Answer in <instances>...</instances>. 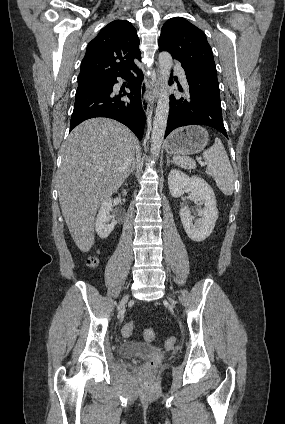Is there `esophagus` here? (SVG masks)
<instances>
[{"label":"esophagus","mask_w":285,"mask_h":424,"mask_svg":"<svg viewBox=\"0 0 285 424\" xmlns=\"http://www.w3.org/2000/svg\"><path fill=\"white\" fill-rule=\"evenodd\" d=\"M160 85V72L157 70L156 80L154 82L148 81L142 89V107L146 114L150 111V106L154 96L156 95Z\"/></svg>","instance_id":"1"}]
</instances>
